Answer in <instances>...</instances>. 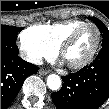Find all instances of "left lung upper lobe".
<instances>
[{"label":"left lung upper lobe","mask_w":109,"mask_h":109,"mask_svg":"<svg viewBox=\"0 0 109 109\" xmlns=\"http://www.w3.org/2000/svg\"><path fill=\"white\" fill-rule=\"evenodd\" d=\"M93 20L102 33V37H103L102 47L109 46L108 28L98 18L93 17Z\"/></svg>","instance_id":"left-lung-upper-lobe-1"}]
</instances>
